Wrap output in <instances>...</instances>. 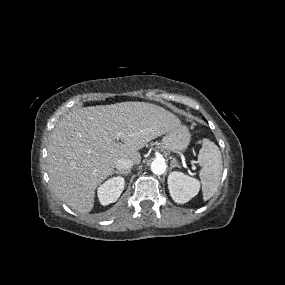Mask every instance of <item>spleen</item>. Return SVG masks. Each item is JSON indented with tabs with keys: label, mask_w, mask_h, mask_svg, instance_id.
<instances>
[{
	"label": "spleen",
	"mask_w": 285,
	"mask_h": 285,
	"mask_svg": "<svg viewBox=\"0 0 285 285\" xmlns=\"http://www.w3.org/2000/svg\"><path fill=\"white\" fill-rule=\"evenodd\" d=\"M197 162L201 166L199 176L203 200L206 201L216 193L222 176L223 162L218 146L209 139H204Z\"/></svg>",
	"instance_id": "1"
}]
</instances>
